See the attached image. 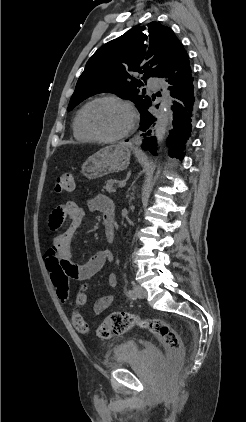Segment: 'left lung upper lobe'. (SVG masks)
<instances>
[{
	"label": "left lung upper lobe",
	"instance_id": "5c2ea615",
	"mask_svg": "<svg viewBox=\"0 0 246 422\" xmlns=\"http://www.w3.org/2000/svg\"><path fill=\"white\" fill-rule=\"evenodd\" d=\"M180 45L173 31L158 22L135 27L109 41L88 60L68 111L92 95L109 92L134 102L141 113L151 98L140 94L139 88L146 78L164 75ZM134 72L143 74L142 81Z\"/></svg>",
	"mask_w": 246,
	"mask_h": 422
}]
</instances>
